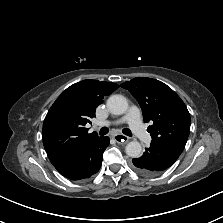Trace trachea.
Returning <instances> with one entry per match:
<instances>
[{
  "instance_id": "3493384b",
  "label": "trachea",
  "mask_w": 223,
  "mask_h": 223,
  "mask_svg": "<svg viewBox=\"0 0 223 223\" xmlns=\"http://www.w3.org/2000/svg\"><path fill=\"white\" fill-rule=\"evenodd\" d=\"M109 132V129L107 128V127H102L101 129H100V135H106L107 133ZM122 132L125 134V135H127V136H132V133H131V131L128 129V128H124L123 130H122Z\"/></svg>"
}]
</instances>
